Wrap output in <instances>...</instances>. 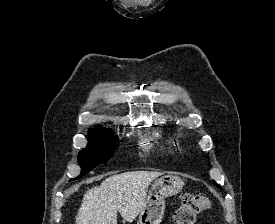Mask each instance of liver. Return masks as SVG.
I'll return each instance as SVG.
<instances>
[{"instance_id":"liver-1","label":"liver","mask_w":275,"mask_h":224,"mask_svg":"<svg viewBox=\"0 0 275 224\" xmlns=\"http://www.w3.org/2000/svg\"><path fill=\"white\" fill-rule=\"evenodd\" d=\"M161 172L132 171L112 175L88 189L76 216V224H117V213L131 223L145 206L150 183Z\"/></svg>"}]
</instances>
